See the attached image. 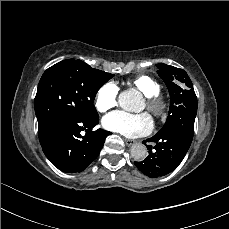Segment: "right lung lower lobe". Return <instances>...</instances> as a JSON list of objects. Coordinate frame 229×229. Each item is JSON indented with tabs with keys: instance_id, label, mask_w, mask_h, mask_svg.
<instances>
[{
	"instance_id": "right-lung-lower-lobe-1",
	"label": "right lung lower lobe",
	"mask_w": 229,
	"mask_h": 229,
	"mask_svg": "<svg viewBox=\"0 0 229 229\" xmlns=\"http://www.w3.org/2000/svg\"><path fill=\"white\" fill-rule=\"evenodd\" d=\"M96 120L62 117L39 135L43 152L58 169L75 173L83 171L99 155L109 131L94 130ZM85 134V135H84Z\"/></svg>"
}]
</instances>
